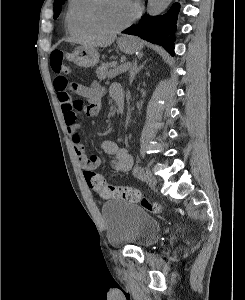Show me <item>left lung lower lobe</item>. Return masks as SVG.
Masks as SVG:
<instances>
[{
    "mask_svg": "<svg viewBox=\"0 0 245 300\" xmlns=\"http://www.w3.org/2000/svg\"><path fill=\"white\" fill-rule=\"evenodd\" d=\"M180 5L174 3L169 11L163 16H146L135 25L125 29L122 33L136 35L151 43L163 46L172 56H174L175 37L177 17Z\"/></svg>",
    "mask_w": 245,
    "mask_h": 300,
    "instance_id": "left-lung-lower-lobe-1",
    "label": "left lung lower lobe"
}]
</instances>
